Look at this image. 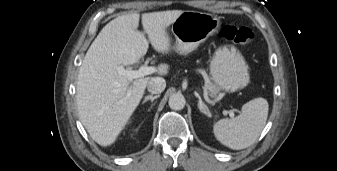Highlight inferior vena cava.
Wrapping results in <instances>:
<instances>
[{"label":"inferior vena cava","mask_w":337,"mask_h":171,"mask_svg":"<svg viewBox=\"0 0 337 171\" xmlns=\"http://www.w3.org/2000/svg\"><path fill=\"white\" fill-rule=\"evenodd\" d=\"M165 87L166 82L161 77H154L147 84V89L152 94H159L163 92Z\"/></svg>","instance_id":"602c4592"}]
</instances>
